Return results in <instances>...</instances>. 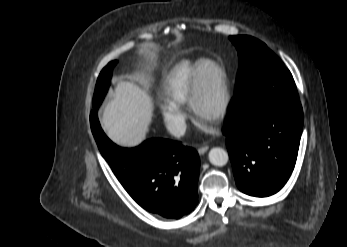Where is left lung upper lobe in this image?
<instances>
[{"label":"left lung upper lobe","instance_id":"left-lung-upper-lobe-1","mask_svg":"<svg viewBox=\"0 0 347 247\" xmlns=\"http://www.w3.org/2000/svg\"><path fill=\"white\" fill-rule=\"evenodd\" d=\"M229 38L239 57L235 94L242 93L260 75L284 67L282 61L258 39L246 35Z\"/></svg>","mask_w":347,"mask_h":247}]
</instances>
